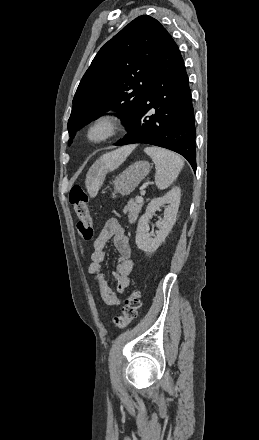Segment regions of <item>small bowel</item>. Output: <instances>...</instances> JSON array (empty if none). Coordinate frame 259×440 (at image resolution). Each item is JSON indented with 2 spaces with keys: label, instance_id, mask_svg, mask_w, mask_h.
I'll return each instance as SVG.
<instances>
[{
  "label": "small bowel",
  "instance_id": "small-bowel-1",
  "mask_svg": "<svg viewBox=\"0 0 259 440\" xmlns=\"http://www.w3.org/2000/svg\"><path fill=\"white\" fill-rule=\"evenodd\" d=\"M112 240L118 253L116 271L113 276L116 281L115 289L108 284L102 264L105 260L107 243ZM134 263L131 259V246L124 228L116 218L108 219L93 242V252L88 273L96 284L99 294L105 304L109 306L120 303V294L130 285Z\"/></svg>",
  "mask_w": 259,
  "mask_h": 440
}]
</instances>
